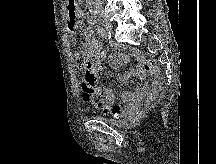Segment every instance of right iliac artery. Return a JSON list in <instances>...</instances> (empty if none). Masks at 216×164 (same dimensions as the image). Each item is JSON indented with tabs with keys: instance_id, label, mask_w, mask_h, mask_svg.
<instances>
[{
	"instance_id": "obj_1",
	"label": "right iliac artery",
	"mask_w": 216,
	"mask_h": 164,
	"mask_svg": "<svg viewBox=\"0 0 216 164\" xmlns=\"http://www.w3.org/2000/svg\"><path fill=\"white\" fill-rule=\"evenodd\" d=\"M97 33H98V35H100L102 38H105V39H110V38H111L110 32L106 31L103 27H98V28H97Z\"/></svg>"
}]
</instances>
